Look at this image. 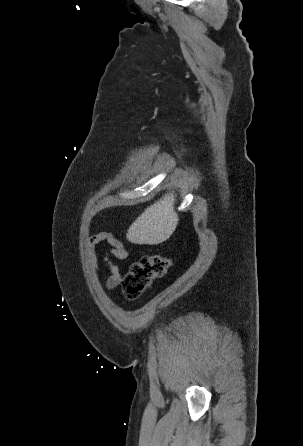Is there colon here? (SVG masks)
<instances>
[{
    "label": "colon",
    "instance_id": "obj_1",
    "mask_svg": "<svg viewBox=\"0 0 303 446\" xmlns=\"http://www.w3.org/2000/svg\"><path fill=\"white\" fill-rule=\"evenodd\" d=\"M170 266V260L162 255H146L133 262L123 279V291L130 300L141 296L149 284L162 277Z\"/></svg>",
    "mask_w": 303,
    "mask_h": 446
}]
</instances>
